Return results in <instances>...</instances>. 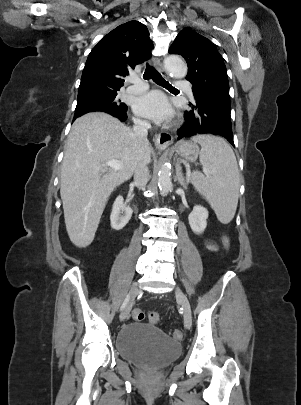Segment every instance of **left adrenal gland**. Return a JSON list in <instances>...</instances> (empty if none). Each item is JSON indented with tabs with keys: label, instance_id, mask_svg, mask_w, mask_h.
Here are the masks:
<instances>
[{
	"label": "left adrenal gland",
	"instance_id": "a2214340",
	"mask_svg": "<svg viewBox=\"0 0 301 405\" xmlns=\"http://www.w3.org/2000/svg\"><path fill=\"white\" fill-rule=\"evenodd\" d=\"M175 180H177L181 186L186 187L185 179L182 174V168L179 164H177V166H176V179Z\"/></svg>",
	"mask_w": 301,
	"mask_h": 405
}]
</instances>
